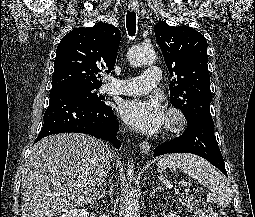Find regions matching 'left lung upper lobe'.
<instances>
[{"instance_id":"1","label":"left lung upper lobe","mask_w":255,"mask_h":217,"mask_svg":"<svg viewBox=\"0 0 255 217\" xmlns=\"http://www.w3.org/2000/svg\"><path fill=\"white\" fill-rule=\"evenodd\" d=\"M157 43L166 66L176 78L170 82V102L185 115L188 125L212 120L207 41L189 26H169L160 21L155 27Z\"/></svg>"}]
</instances>
